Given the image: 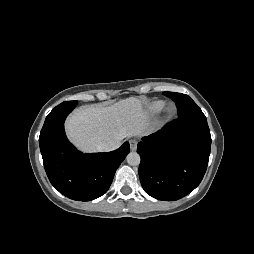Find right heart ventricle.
I'll use <instances>...</instances> for the list:
<instances>
[{"instance_id": "obj_1", "label": "right heart ventricle", "mask_w": 254, "mask_h": 254, "mask_svg": "<svg viewBox=\"0 0 254 254\" xmlns=\"http://www.w3.org/2000/svg\"><path fill=\"white\" fill-rule=\"evenodd\" d=\"M164 106H165L164 101H161V100L153 101L147 106L146 113L149 116H154V115L158 114L159 112H161V110L164 108Z\"/></svg>"}]
</instances>
